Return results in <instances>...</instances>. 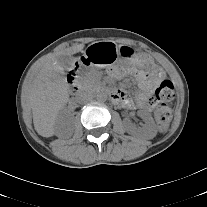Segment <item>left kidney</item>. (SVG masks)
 <instances>
[{"instance_id": "obj_1", "label": "left kidney", "mask_w": 207, "mask_h": 207, "mask_svg": "<svg viewBox=\"0 0 207 207\" xmlns=\"http://www.w3.org/2000/svg\"><path fill=\"white\" fill-rule=\"evenodd\" d=\"M138 115L144 119L145 124L141 129H136L131 123L126 122L125 127L129 134L131 135H142L146 139H152L157 134V126L152 118V116L145 112L139 111Z\"/></svg>"}]
</instances>
